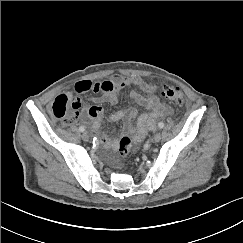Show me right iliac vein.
<instances>
[{
    "instance_id": "obj_1",
    "label": "right iliac vein",
    "mask_w": 243,
    "mask_h": 243,
    "mask_svg": "<svg viewBox=\"0 0 243 243\" xmlns=\"http://www.w3.org/2000/svg\"><path fill=\"white\" fill-rule=\"evenodd\" d=\"M82 139L85 141V142H88L90 140V136L87 132H83L82 133Z\"/></svg>"
}]
</instances>
